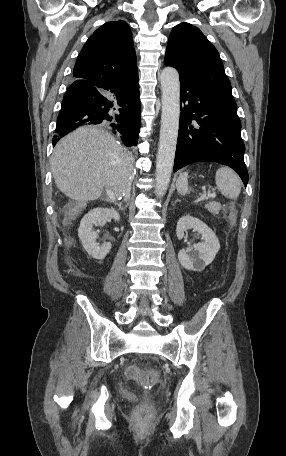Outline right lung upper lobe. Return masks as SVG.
I'll use <instances>...</instances> for the list:
<instances>
[{"label":"right lung upper lobe","instance_id":"right-lung-upper-lobe-1","mask_svg":"<svg viewBox=\"0 0 286 456\" xmlns=\"http://www.w3.org/2000/svg\"><path fill=\"white\" fill-rule=\"evenodd\" d=\"M73 77L102 86L131 81L138 77L132 32L124 21L107 22L83 46Z\"/></svg>","mask_w":286,"mask_h":456}]
</instances>
